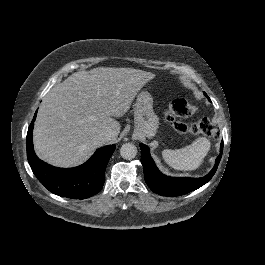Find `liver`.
<instances>
[{"label":"liver","instance_id":"obj_1","mask_svg":"<svg viewBox=\"0 0 265 265\" xmlns=\"http://www.w3.org/2000/svg\"><path fill=\"white\" fill-rule=\"evenodd\" d=\"M155 74L135 68L96 67L77 71L43 99L33 127L37 157L58 168L84 164L120 133V123L135 94ZM107 128L115 138L106 140Z\"/></svg>","mask_w":265,"mask_h":265}]
</instances>
